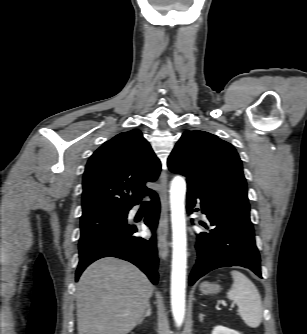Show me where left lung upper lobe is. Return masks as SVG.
Masks as SVG:
<instances>
[{
	"label": "left lung upper lobe",
	"mask_w": 307,
	"mask_h": 334,
	"mask_svg": "<svg viewBox=\"0 0 307 334\" xmlns=\"http://www.w3.org/2000/svg\"><path fill=\"white\" fill-rule=\"evenodd\" d=\"M171 172L187 178L188 189L249 207L247 184L235 148L205 131H185L168 158Z\"/></svg>",
	"instance_id": "1"
}]
</instances>
